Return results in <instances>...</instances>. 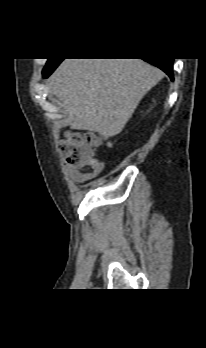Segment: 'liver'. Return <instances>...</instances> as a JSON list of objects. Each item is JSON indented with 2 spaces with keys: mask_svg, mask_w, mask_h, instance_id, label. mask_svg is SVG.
I'll return each mask as SVG.
<instances>
[{
  "mask_svg": "<svg viewBox=\"0 0 206 348\" xmlns=\"http://www.w3.org/2000/svg\"><path fill=\"white\" fill-rule=\"evenodd\" d=\"M163 77L142 59H65L49 80L72 128L112 137Z\"/></svg>",
  "mask_w": 206,
  "mask_h": 348,
  "instance_id": "obj_1",
  "label": "liver"
}]
</instances>
